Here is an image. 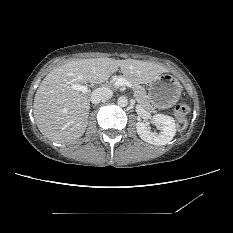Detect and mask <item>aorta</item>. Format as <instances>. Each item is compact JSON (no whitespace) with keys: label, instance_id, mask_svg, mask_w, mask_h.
<instances>
[{"label":"aorta","instance_id":"762f6f07","mask_svg":"<svg viewBox=\"0 0 233 233\" xmlns=\"http://www.w3.org/2000/svg\"><path fill=\"white\" fill-rule=\"evenodd\" d=\"M117 104L120 106V107H126L128 105V99L127 97L125 96H120L118 99H117Z\"/></svg>","mask_w":233,"mask_h":233}]
</instances>
